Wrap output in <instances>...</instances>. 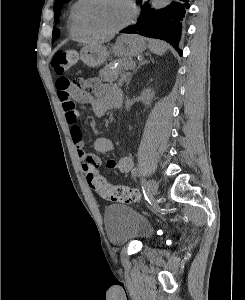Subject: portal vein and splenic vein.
Wrapping results in <instances>:
<instances>
[{"label": "portal vein and splenic vein", "instance_id": "1", "mask_svg": "<svg viewBox=\"0 0 245 300\" xmlns=\"http://www.w3.org/2000/svg\"><path fill=\"white\" fill-rule=\"evenodd\" d=\"M134 65H135V63H134V62H131V63L129 64V68L133 67Z\"/></svg>", "mask_w": 245, "mask_h": 300}]
</instances>
